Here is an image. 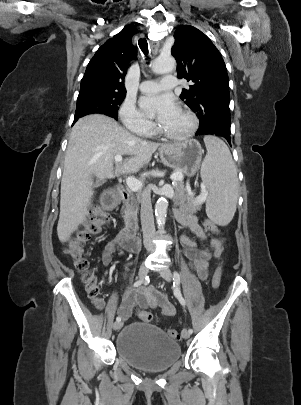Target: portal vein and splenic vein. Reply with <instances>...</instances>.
Returning <instances> with one entry per match:
<instances>
[{
	"instance_id": "1",
	"label": "portal vein and splenic vein",
	"mask_w": 301,
	"mask_h": 405,
	"mask_svg": "<svg viewBox=\"0 0 301 405\" xmlns=\"http://www.w3.org/2000/svg\"><path fill=\"white\" fill-rule=\"evenodd\" d=\"M114 160L116 163H119L122 161V156L116 155L114 157ZM170 178L173 182L181 181L183 179V175L181 172H175L174 174L171 175ZM126 184L129 187V189L132 190L133 192H137V191L141 190L143 187V183L141 181H139L131 176L126 178ZM188 194L192 195V192L190 189L188 190ZM207 195H208L207 191L205 189H203L201 195L196 197L195 200L198 202H204L207 198Z\"/></svg>"
}]
</instances>
